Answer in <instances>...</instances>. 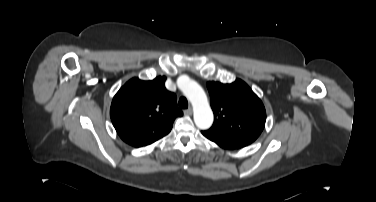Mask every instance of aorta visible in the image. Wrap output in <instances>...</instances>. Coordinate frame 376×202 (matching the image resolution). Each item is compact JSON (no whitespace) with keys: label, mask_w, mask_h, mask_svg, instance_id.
I'll return each mask as SVG.
<instances>
[{"label":"aorta","mask_w":376,"mask_h":202,"mask_svg":"<svg viewBox=\"0 0 376 202\" xmlns=\"http://www.w3.org/2000/svg\"><path fill=\"white\" fill-rule=\"evenodd\" d=\"M177 85L193 105L196 126L201 130L210 128L214 116L202 87L187 76L179 77Z\"/></svg>","instance_id":"1"}]
</instances>
